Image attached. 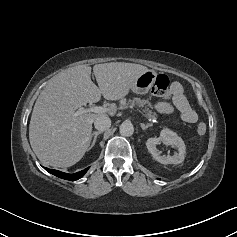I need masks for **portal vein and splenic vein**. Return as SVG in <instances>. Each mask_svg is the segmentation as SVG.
<instances>
[{
	"label": "portal vein and splenic vein",
	"mask_w": 237,
	"mask_h": 237,
	"mask_svg": "<svg viewBox=\"0 0 237 237\" xmlns=\"http://www.w3.org/2000/svg\"><path fill=\"white\" fill-rule=\"evenodd\" d=\"M126 108H133V106L129 105V106H125L122 109H126ZM113 109L110 107H106V106H93L89 109H79L77 110L73 116H79L83 113H88V112H94V113H109L111 112Z\"/></svg>",
	"instance_id": "portal-vein-and-splenic-vein-1"
}]
</instances>
